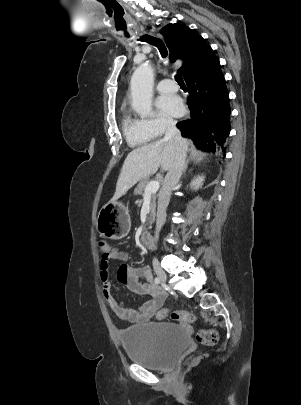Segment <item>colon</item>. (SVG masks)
<instances>
[{"mask_svg":"<svg viewBox=\"0 0 301 405\" xmlns=\"http://www.w3.org/2000/svg\"><path fill=\"white\" fill-rule=\"evenodd\" d=\"M99 248L102 253V256L107 257L110 252V246L106 241L99 242ZM157 318L159 320H165L171 318L174 321H179L185 324H191L195 321L194 315L187 311L181 310H169L167 308H161L157 312ZM197 341L202 345L212 346L215 345L218 341V334L214 330H200L196 334ZM190 359L185 361V364L188 365Z\"/></svg>","mask_w":301,"mask_h":405,"instance_id":"1","label":"colon"}]
</instances>
